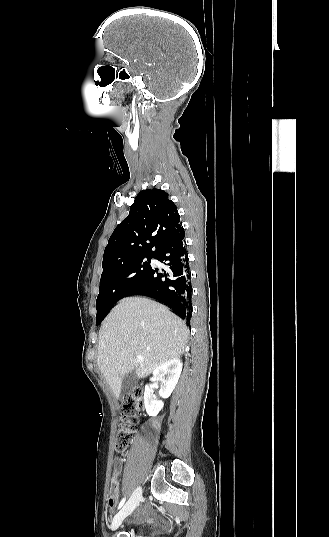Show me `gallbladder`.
<instances>
[{
	"mask_svg": "<svg viewBox=\"0 0 329 537\" xmlns=\"http://www.w3.org/2000/svg\"><path fill=\"white\" fill-rule=\"evenodd\" d=\"M137 375L135 370L125 374L122 378L121 395L130 394L136 387Z\"/></svg>",
	"mask_w": 329,
	"mask_h": 537,
	"instance_id": "gallbladder-1",
	"label": "gallbladder"
}]
</instances>
